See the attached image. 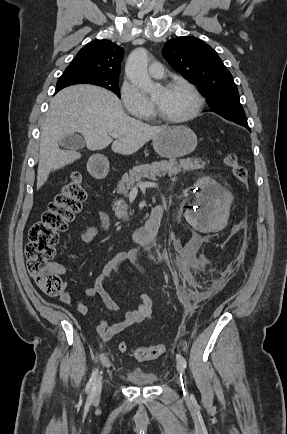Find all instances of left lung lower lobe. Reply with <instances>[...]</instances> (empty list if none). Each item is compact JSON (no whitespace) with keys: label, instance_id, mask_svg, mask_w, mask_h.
<instances>
[{"label":"left lung lower lobe","instance_id":"left-lung-lower-lobe-1","mask_svg":"<svg viewBox=\"0 0 287 434\" xmlns=\"http://www.w3.org/2000/svg\"><path fill=\"white\" fill-rule=\"evenodd\" d=\"M224 118L229 120V121H233L239 125H242L245 128H247L249 131H251L249 126H248V123H247L245 116L230 115V116H224Z\"/></svg>","mask_w":287,"mask_h":434}]
</instances>
